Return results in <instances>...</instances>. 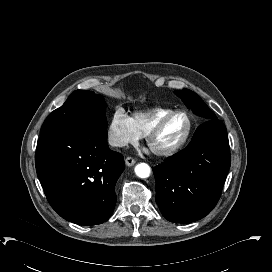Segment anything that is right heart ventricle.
I'll return each instance as SVG.
<instances>
[{"label":"right heart ventricle","instance_id":"e07e8e85","mask_svg":"<svg viewBox=\"0 0 272 272\" xmlns=\"http://www.w3.org/2000/svg\"><path fill=\"white\" fill-rule=\"evenodd\" d=\"M172 112V109L158 108L151 113L142 114L136 113L133 116L134 122L142 133L146 131L162 116Z\"/></svg>","mask_w":272,"mask_h":272}]
</instances>
